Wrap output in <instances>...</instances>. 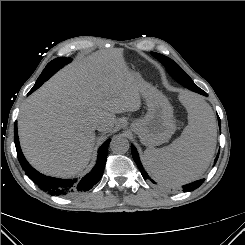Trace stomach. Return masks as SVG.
<instances>
[{"label": "stomach", "mask_w": 245, "mask_h": 245, "mask_svg": "<svg viewBox=\"0 0 245 245\" xmlns=\"http://www.w3.org/2000/svg\"><path fill=\"white\" fill-rule=\"evenodd\" d=\"M130 70L140 83L141 94L148 106L147 114L134 121L131 129L146 146L153 147L167 142L175 132L173 107L166 96L144 82L134 68Z\"/></svg>", "instance_id": "1"}]
</instances>
